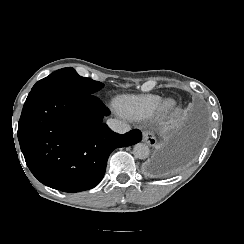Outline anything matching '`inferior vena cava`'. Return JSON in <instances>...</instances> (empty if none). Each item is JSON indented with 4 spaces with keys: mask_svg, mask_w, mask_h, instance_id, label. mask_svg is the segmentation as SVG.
I'll return each mask as SVG.
<instances>
[{
    "mask_svg": "<svg viewBox=\"0 0 244 244\" xmlns=\"http://www.w3.org/2000/svg\"><path fill=\"white\" fill-rule=\"evenodd\" d=\"M107 125L112 131L118 134H125L130 131V127L128 125L116 119H109L107 121Z\"/></svg>",
    "mask_w": 244,
    "mask_h": 244,
    "instance_id": "602c4592",
    "label": "inferior vena cava"
}]
</instances>
